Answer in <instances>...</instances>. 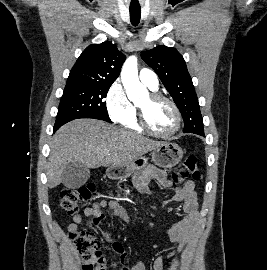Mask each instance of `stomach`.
Returning <instances> with one entry per match:
<instances>
[{
  "mask_svg": "<svg viewBox=\"0 0 267 270\" xmlns=\"http://www.w3.org/2000/svg\"><path fill=\"white\" fill-rule=\"evenodd\" d=\"M183 157L182 149L174 143L164 142L151 153L152 162L161 168H171L177 165ZM148 165V158L140 156L134 161L121 165L109 167L107 175L110 179H126L136 171Z\"/></svg>",
  "mask_w": 267,
  "mask_h": 270,
  "instance_id": "stomach-1",
  "label": "stomach"
}]
</instances>
